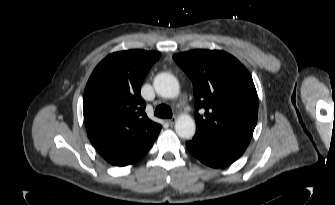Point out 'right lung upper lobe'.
<instances>
[{"mask_svg":"<svg viewBox=\"0 0 335 205\" xmlns=\"http://www.w3.org/2000/svg\"><path fill=\"white\" fill-rule=\"evenodd\" d=\"M159 52L128 50L108 55L91 74L83 97L87 135L112 165L134 163L148 152L161 125L151 121L141 85Z\"/></svg>","mask_w":335,"mask_h":205,"instance_id":"cb5924a9","label":"right lung upper lobe"}]
</instances>
